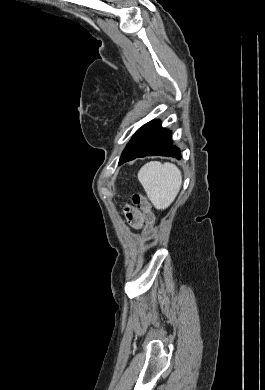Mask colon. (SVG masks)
I'll list each match as a JSON object with an SVG mask.
<instances>
[{
    "label": "colon",
    "instance_id": "obj_1",
    "mask_svg": "<svg viewBox=\"0 0 265 390\" xmlns=\"http://www.w3.org/2000/svg\"><path fill=\"white\" fill-rule=\"evenodd\" d=\"M132 203L135 208L142 211L144 219L147 223H153L154 214L151 210L150 203L142 193H134L132 196Z\"/></svg>",
    "mask_w": 265,
    "mask_h": 390
}]
</instances>
